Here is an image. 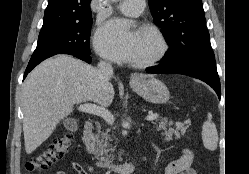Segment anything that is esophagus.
Returning a JSON list of instances; mask_svg holds the SVG:
<instances>
[{
  "label": "esophagus",
  "mask_w": 249,
  "mask_h": 174,
  "mask_svg": "<svg viewBox=\"0 0 249 174\" xmlns=\"http://www.w3.org/2000/svg\"><path fill=\"white\" fill-rule=\"evenodd\" d=\"M138 78H139L138 74L134 73V74L131 75L130 79H131V81H136V80H138Z\"/></svg>",
  "instance_id": "1"
}]
</instances>
